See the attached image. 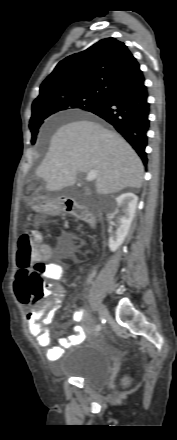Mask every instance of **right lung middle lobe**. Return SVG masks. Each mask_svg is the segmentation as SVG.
<instances>
[{"mask_svg":"<svg viewBox=\"0 0 177 440\" xmlns=\"http://www.w3.org/2000/svg\"><path fill=\"white\" fill-rule=\"evenodd\" d=\"M102 97V94L70 93L51 100L41 106L32 107V116L29 124L32 133L31 143L34 144L36 142L39 128L42 125L43 120L48 116L59 111L74 108L88 110L99 103Z\"/></svg>","mask_w":177,"mask_h":440,"instance_id":"dd1d6c3e","label":"right lung middle lobe"}]
</instances>
